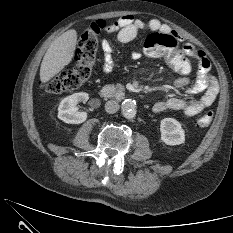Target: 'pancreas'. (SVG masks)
Returning a JSON list of instances; mask_svg holds the SVG:
<instances>
[{
    "label": "pancreas",
    "mask_w": 233,
    "mask_h": 233,
    "mask_svg": "<svg viewBox=\"0 0 233 233\" xmlns=\"http://www.w3.org/2000/svg\"><path fill=\"white\" fill-rule=\"evenodd\" d=\"M116 87L119 90H123L124 89V86L122 84H117Z\"/></svg>",
    "instance_id": "1"
}]
</instances>
